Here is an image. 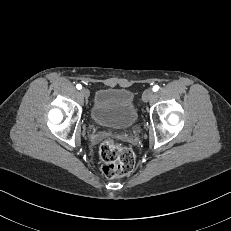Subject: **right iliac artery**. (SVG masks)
Segmentation results:
<instances>
[{"instance_id": "right-iliac-artery-1", "label": "right iliac artery", "mask_w": 231, "mask_h": 231, "mask_svg": "<svg viewBox=\"0 0 231 231\" xmlns=\"http://www.w3.org/2000/svg\"><path fill=\"white\" fill-rule=\"evenodd\" d=\"M76 88H77L78 90H80V89L82 88L81 84H77V85H76Z\"/></svg>"}]
</instances>
